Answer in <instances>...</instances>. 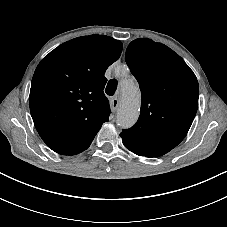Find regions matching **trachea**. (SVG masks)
<instances>
[{"label": "trachea", "mask_w": 227, "mask_h": 227, "mask_svg": "<svg viewBox=\"0 0 227 227\" xmlns=\"http://www.w3.org/2000/svg\"><path fill=\"white\" fill-rule=\"evenodd\" d=\"M117 89V80L116 79H111L107 83V87L105 89V92L109 96H113L116 92Z\"/></svg>", "instance_id": "1"}]
</instances>
